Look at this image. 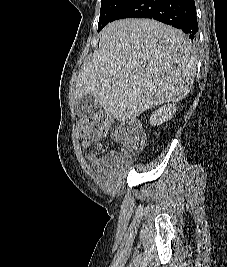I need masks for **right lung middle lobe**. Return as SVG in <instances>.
<instances>
[{
	"label": "right lung middle lobe",
	"mask_w": 227,
	"mask_h": 267,
	"mask_svg": "<svg viewBox=\"0 0 227 267\" xmlns=\"http://www.w3.org/2000/svg\"><path fill=\"white\" fill-rule=\"evenodd\" d=\"M127 0H102L98 32L107 25Z\"/></svg>",
	"instance_id": "dd1d6c3e"
}]
</instances>
